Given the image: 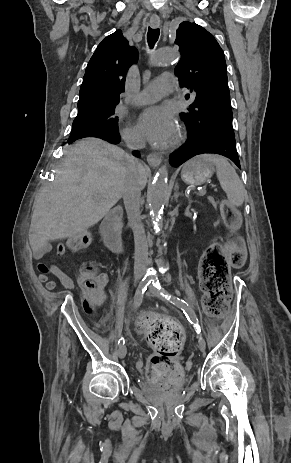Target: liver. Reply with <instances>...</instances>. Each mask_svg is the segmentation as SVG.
<instances>
[{
  "mask_svg": "<svg viewBox=\"0 0 291 463\" xmlns=\"http://www.w3.org/2000/svg\"><path fill=\"white\" fill-rule=\"evenodd\" d=\"M129 175V155L115 145L86 138L68 148L55 180L36 198L29 233L32 250H50L49 241L73 237L97 224L123 196ZM147 177V168L140 164L141 189Z\"/></svg>",
  "mask_w": 291,
  "mask_h": 463,
  "instance_id": "6515ba94",
  "label": "liver"
}]
</instances>
